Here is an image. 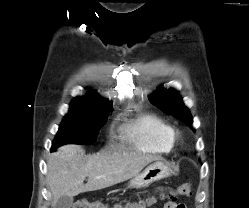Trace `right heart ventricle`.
<instances>
[{"label":"right heart ventricle","mask_w":249,"mask_h":208,"mask_svg":"<svg viewBox=\"0 0 249 208\" xmlns=\"http://www.w3.org/2000/svg\"><path fill=\"white\" fill-rule=\"evenodd\" d=\"M126 140L138 151L166 154L174 146V128L155 114H142L123 128Z\"/></svg>","instance_id":"right-heart-ventricle-1"}]
</instances>
